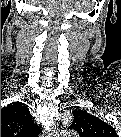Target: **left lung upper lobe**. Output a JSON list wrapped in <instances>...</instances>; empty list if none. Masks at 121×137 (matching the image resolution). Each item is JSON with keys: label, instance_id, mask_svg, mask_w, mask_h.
<instances>
[{"label": "left lung upper lobe", "instance_id": "1", "mask_svg": "<svg viewBox=\"0 0 121 137\" xmlns=\"http://www.w3.org/2000/svg\"><path fill=\"white\" fill-rule=\"evenodd\" d=\"M71 129L79 134H90L95 137H116L115 129L101 120L83 110H76Z\"/></svg>", "mask_w": 121, "mask_h": 137}]
</instances>
